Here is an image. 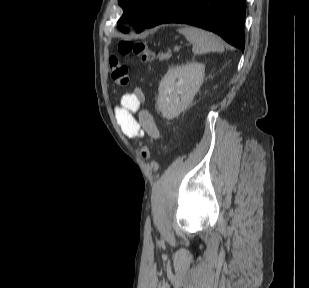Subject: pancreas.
Wrapping results in <instances>:
<instances>
[{
  "mask_svg": "<svg viewBox=\"0 0 309 288\" xmlns=\"http://www.w3.org/2000/svg\"><path fill=\"white\" fill-rule=\"evenodd\" d=\"M170 54L169 53H162L158 55L159 61H164L170 58Z\"/></svg>",
  "mask_w": 309,
  "mask_h": 288,
  "instance_id": "obj_1",
  "label": "pancreas"
}]
</instances>
